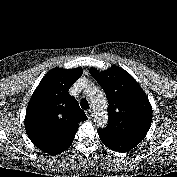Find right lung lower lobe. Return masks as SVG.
Masks as SVG:
<instances>
[{
  "instance_id": "98d812e1",
  "label": "right lung lower lobe",
  "mask_w": 177,
  "mask_h": 177,
  "mask_svg": "<svg viewBox=\"0 0 177 177\" xmlns=\"http://www.w3.org/2000/svg\"><path fill=\"white\" fill-rule=\"evenodd\" d=\"M37 147H38L40 150H42V151H44V152H46V153L54 154V153L51 152L53 149L50 148L47 143H42L41 145H38ZM65 150H66V149H65ZM65 150H63V151H65ZM63 151H62V152H63ZM60 153H61V152H60ZM58 154H59V153H58Z\"/></svg>"
}]
</instances>
